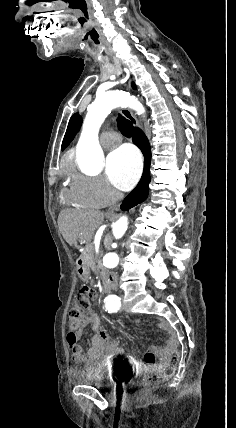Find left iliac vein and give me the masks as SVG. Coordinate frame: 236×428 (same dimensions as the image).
<instances>
[{"label": "left iliac vein", "mask_w": 236, "mask_h": 428, "mask_svg": "<svg viewBox=\"0 0 236 428\" xmlns=\"http://www.w3.org/2000/svg\"><path fill=\"white\" fill-rule=\"evenodd\" d=\"M124 299H123V296H120V301H123Z\"/></svg>", "instance_id": "4c4485c4"}]
</instances>
